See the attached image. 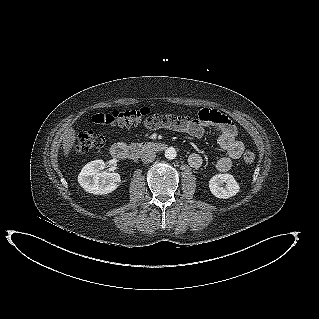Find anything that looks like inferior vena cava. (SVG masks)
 Wrapping results in <instances>:
<instances>
[{"mask_svg": "<svg viewBox=\"0 0 319 319\" xmlns=\"http://www.w3.org/2000/svg\"><path fill=\"white\" fill-rule=\"evenodd\" d=\"M156 158V154L152 150H147L141 154V161L144 163H150Z\"/></svg>", "mask_w": 319, "mask_h": 319, "instance_id": "inferior-vena-cava-1", "label": "inferior vena cava"}]
</instances>
